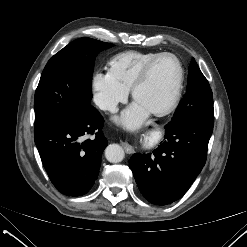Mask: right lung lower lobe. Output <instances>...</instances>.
Wrapping results in <instances>:
<instances>
[{
  "label": "right lung lower lobe",
  "mask_w": 247,
  "mask_h": 247,
  "mask_svg": "<svg viewBox=\"0 0 247 247\" xmlns=\"http://www.w3.org/2000/svg\"><path fill=\"white\" fill-rule=\"evenodd\" d=\"M104 119L90 106L54 126L35 133L34 139L43 166L53 185L67 196L86 194L99 174L107 139ZM92 139L81 142L87 135Z\"/></svg>",
  "instance_id": "obj_1"
}]
</instances>
